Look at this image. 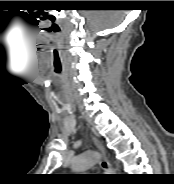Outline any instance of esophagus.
Masks as SVG:
<instances>
[{"label":"esophagus","mask_w":174,"mask_h":184,"mask_svg":"<svg viewBox=\"0 0 174 184\" xmlns=\"http://www.w3.org/2000/svg\"><path fill=\"white\" fill-rule=\"evenodd\" d=\"M93 142L94 144L96 145L97 149L101 152V155H102V158L99 162L100 164V167L107 173H112L113 172V169L109 163V161L107 160L106 158V154H105V151L103 149V146L102 144L95 138L93 137Z\"/></svg>","instance_id":"obj_1"}]
</instances>
